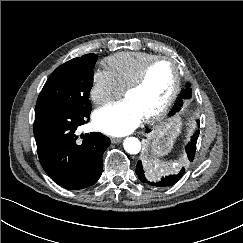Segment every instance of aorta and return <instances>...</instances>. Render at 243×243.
Listing matches in <instances>:
<instances>
[{
  "label": "aorta",
  "mask_w": 243,
  "mask_h": 243,
  "mask_svg": "<svg viewBox=\"0 0 243 243\" xmlns=\"http://www.w3.org/2000/svg\"><path fill=\"white\" fill-rule=\"evenodd\" d=\"M123 147L129 154H137L141 150V142L138 138L128 137L124 140Z\"/></svg>",
  "instance_id": "1"
}]
</instances>
